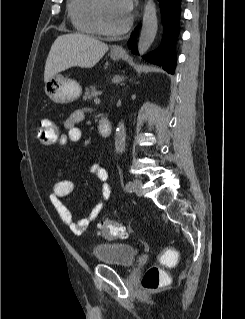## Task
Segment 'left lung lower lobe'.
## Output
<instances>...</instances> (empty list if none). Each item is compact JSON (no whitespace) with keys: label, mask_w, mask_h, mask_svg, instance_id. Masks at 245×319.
I'll list each match as a JSON object with an SVG mask.
<instances>
[{"label":"left lung lower lobe","mask_w":245,"mask_h":319,"mask_svg":"<svg viewBox=\"0 0 245 319\" xmlns=\"http://www.w3.org/2000/svg\"><path fill=\"white\" fill-rule=\"evenodd\" d=\"M181 0H159L162 23L164 27L163 40L161 46L145 56L149 63L161 65L168 73L173 74L176 62L175 42L179 34L178 19L180 16ZM135 36L132 35L128 42L129 48L137 54Z\"/></svg>","instance_id":"obj_1"}]
</instances>
